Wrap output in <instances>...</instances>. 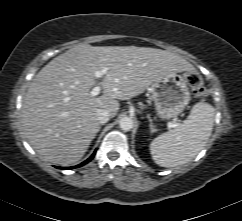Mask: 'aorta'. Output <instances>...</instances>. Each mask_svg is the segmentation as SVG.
Instances as JSON below:
<instances>
[{
	"label": "aorta",
	"instance_id": "obj_1",
	"mask_svg": "<svg viewBox=\"0 0 242 221\" xmlns=\"http://www.w3.org/2000/svg\"><path fill=\"white\" fill-rule=\"evenodd\" d=\"M119 126L123 131H130L134 126V121L130 117H123L119 121Z\"/></svg>",
	"mask_w": 242,
	"mask_h": 221
}]
</instances>
